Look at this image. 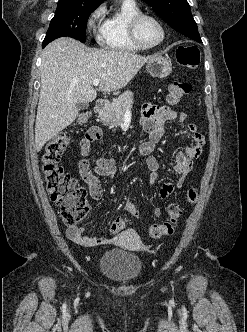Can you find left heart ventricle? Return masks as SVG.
<instances>
[{"mask_svg":"<svg viewBox=\"0 0 247 332\" xmlns=\"http://www.w3.org/2000/svg\"><path fill=\"white\" fill-rule=\"evenodd\" d=\"M138 35L144 44L151 45L161 39V29L153 19L145 18L139 25Z\"/></svg>","mask_w":247,"mask_h":332,"instance_id":"obj_1","label":"left heart ventricle"}]
</instances>
